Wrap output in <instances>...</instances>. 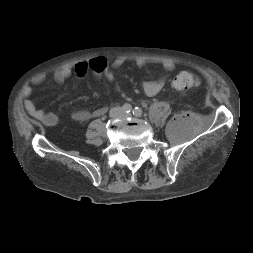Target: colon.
Returning a JSON list of instances; mask_svg holds the SVG:
<instances>
[{
	"label": "colon",
	"mask_w": 253,
	"mask_h": 253,
	"mask_svg": "<svg viewBox=\"0 0 253 253\" xmlns=\"http://www.w3.org/2000/svg\"><path fill=\"white\" fill-rule=\"evenodd\" d=\"M90 70L98 77L114 80V74L108 69V61L104 57H96L89 61ZM199 80L189 72H182L175 76L172 85L178 90H187L198 87Z\"/></svg>",
	"instance_id": "colon-1"
}]
</instances>
